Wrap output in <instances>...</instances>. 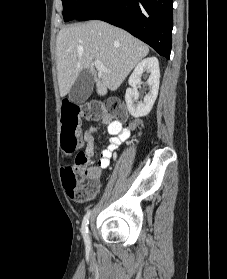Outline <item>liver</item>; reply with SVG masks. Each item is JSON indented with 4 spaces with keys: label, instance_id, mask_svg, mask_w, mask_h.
Listing matches in <instances>:
<instances>
[{
    "label": "liver",
    "instance_id": "obj_1",
    "mask_svg": "<svg viewBox=\"0 0 227 279\" xmlns=\"http://www.w3.org/2000/svg\"><path fill=\"white\" fill-rule=\"evenodd\" d=\"M149 53L142 41L128 32L98 20L62 28L56 39V64L60 96H66L79 74L89 70L98 95L117 90L131 70ZM103 63L107 72L94 68Z\"/></svg>",
    "mask_w": 227,
    "mask_h": 279
}]
</instances>
